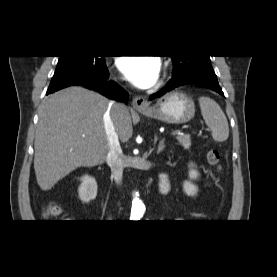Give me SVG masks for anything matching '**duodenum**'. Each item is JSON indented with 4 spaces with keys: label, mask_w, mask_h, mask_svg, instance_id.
Returning a JSON list of instances; mask_svg holds the SVG:
<instances>
[{
    "label": "duodenum",
    "mask_w": 277,
    "mask_h": 277,
    "mask_svg": "<svg viewBox=\"0 0 277 277\" xmlns=\"http://www.w3.org/2000/svg\"><path fill=\"white\" fill-rule=\"evenodd\" d=\"M162 180L166 183V188L164 191L161 190V184H160V191L161 193H166L169 190V180L166 175H163Z\"/></svg>",
    "instance_id": "410a0bca"
}]
</instances>
